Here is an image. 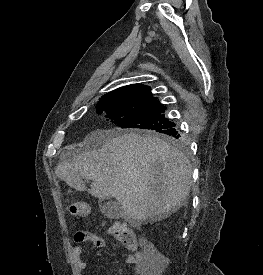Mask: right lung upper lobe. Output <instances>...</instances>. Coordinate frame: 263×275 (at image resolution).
<instances>
[{"mask_svg":"<svg viewBox=\"0 0 263 275\" xmlns=\"http://www.w3.org/2000/svg\"><path fill=\"white\" fill-rule=\"evenodd\" d=\"M110 93H124L135 98H152L151 88L143 84H133L120 87ZM109 94V93H108Z\"/></svg>","mask_w":263,"mask_h":275,"instance_id":"obj_1","label":"right lung upper lobe"}]
</instances>
